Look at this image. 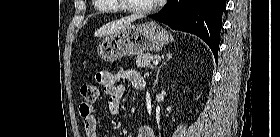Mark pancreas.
Returning a JSON list of instances; mask_svg holds the SVG:
<instances>
[{
	"mask_svg": "<svg viewBox=\"0 0 280 137\" xmlns=\"http://www.w3.org/2000/svg\"><path fill=\"white\" fill-rule=\"evenodd\" d=\"M156 58L155 55L152 54H141L136 57V64L138 67H150L152 68V61Z\"/></svg>",
	"mask_w": 280,
	"mask_h": 137,
	"instance_id": "cf45deb5",
	"label": "pancreas"
}]
</instances>
